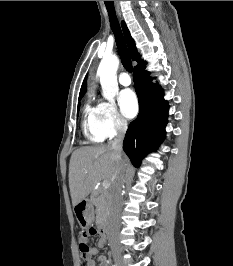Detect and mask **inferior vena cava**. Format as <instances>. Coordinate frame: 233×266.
<instances>
[{"label":"inferior vena cava","instance_id":"obj_1","mask_svg":"<svg viewBox=\"0 0 233 266\" xmlns=\"http://www.w3.org/2000/svg\"><path fill=\"white\" fill-rule=\"evenodd\" d=\"M127 130V123L122 121L117 128L116 138L110 142V146L117 152L118 158L121 156L123 139ZM125 170L122 169L113 181L110 190V218L109 231L113 235L120 224V211L122 208L121 190L124 183Z\"/></svg>","mask_w":233,"mask_h":266}]
</instances>
